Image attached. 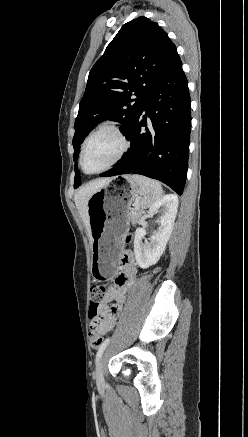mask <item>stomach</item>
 I'll return each instance as SVG.
<instances>
[{
    "instance_id": "stomach-1",
    "label": "stomach",
    "mask_w": 248,
    "mask_h": 437,
    "mask_svg": "<svg viewBox=\"0 0 248 437\" xmlns=\"http://www.w3.org/2000/svg\"><path fill=\"white\" fill-rule=\"evenodd\" d=\"M139 189L132 176L108 180L88 200L94 279H111L129 229V212Z\"/></svg>"
}]
</instances>
